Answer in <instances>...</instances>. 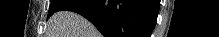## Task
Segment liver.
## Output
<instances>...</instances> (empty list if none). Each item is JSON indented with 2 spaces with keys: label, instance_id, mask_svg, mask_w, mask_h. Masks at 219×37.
Wrapping results in <instances>:
<instances>
[{
  "label": "liver",
  "instance_id": "liver-1",
  "mask_svg": "<svg viewBox=\"0 0 219 37\" xmlns=\"http://www.w3.org/2000/svg\"><path fill=\"white\" fill-rule=\"evenodd\" d=\"M50 37H97L96 28L81 15L71 11H59L48 21Z\"/></svg>",
  "mask_w": 219,
  "mask_h": 37
}]
</instances>
